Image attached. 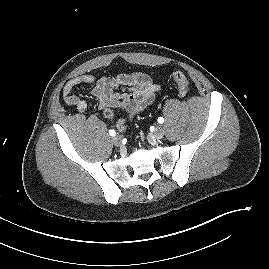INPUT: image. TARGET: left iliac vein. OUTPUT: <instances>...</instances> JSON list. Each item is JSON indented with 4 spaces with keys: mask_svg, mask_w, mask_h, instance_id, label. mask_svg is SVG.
<instances>
[{
    "mask_svg": "<svg viewBox=\"0 0 269 269\" xmlns=\"http://www.w3.org/2000/svg\"><path fill=\"white\" fill-rule=\"evenodd\" d=\"M154 136L157 139H161L164 136V128L161 125H158L154 130Z\"/></svg>",
    "mask_w": 269,
    "mask_h": 269,
    "instance_id": "obj_1",
    "label": "left iliac vein"
}]
</instances>
